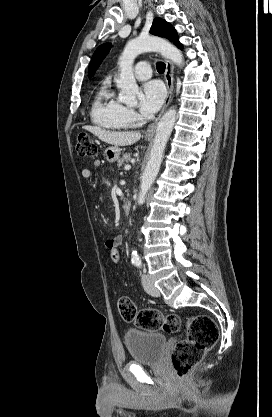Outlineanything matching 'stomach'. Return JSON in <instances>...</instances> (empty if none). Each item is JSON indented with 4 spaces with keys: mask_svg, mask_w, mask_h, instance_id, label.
Wrapping results in <instances>:
<instances>
[{
    "mask_svg": "<svg viewBox=\"0 0 272 417\" xmlns=\"http://www.w3.org/2000/svg\"><path fill=\"white\" fill-rule=\"evenodd\" d=\"M146 139L149 140L150 137H146ZM120 154H121V149L117 145L109 146L105 148L104 150V156L106 160L110 163H114L115 161H117L120 157Z\"/></svg>",
    "mask_w": 272,
    "mask_h": 417,
    "instance_id": "stomach-1",
    "label": "stomach"
}]
</instances>
